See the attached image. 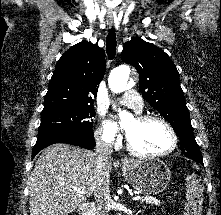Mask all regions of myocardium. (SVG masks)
<instances>
[{
    "mask_svg": "<svg viewBox=\"0 0 221 215\" xmlns=\"http://www.w3.org/2000/svg\"><path fill=\"white\" fill-rule=\"evenodd\" d=\"M136 120L141 123H145V122H149V121H158V122L162 123L166 127V129L168 130V132L170 134L171 145L167 150H165L163 152L144 153V152L137 150L133 146V144L131 143V141L129 140V138L127 136L126 146H127V149L129 150L130 153H132L133 155L140 157V158L152 159V158H160V157L167 156V155L171 154L176 149L177 143H178L177 134H176L173 126L165 118L158 116V115L147 114V115L138 116L136 118Z\"/></svg>",
    "mask_w": 221,
    "mask_h": 215,
    "instance_id": "f54148a6",
    "label": "myocardium"
}]
</instances>
